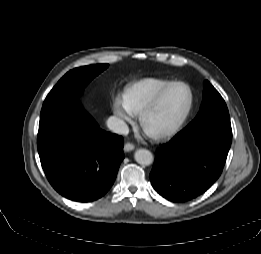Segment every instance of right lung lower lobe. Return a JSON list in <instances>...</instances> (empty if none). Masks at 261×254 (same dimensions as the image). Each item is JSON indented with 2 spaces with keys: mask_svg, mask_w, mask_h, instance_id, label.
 <instances>
[{
  "mask_svg": "<svg viewBox=\"0 0 261 254\" xmlns=\"http://www.w3.org/2000/svg\"><path fill=\"white\" fill-rule=\"evenodd\" d=\"M123 138L105 132L76 97L43 103L38 153L52 187L78 202L102 197L112 186L124 159Z\"/></svg>",
  "mask_w": 261,
  "mask_h": 254,
  "instance_id": "right-lung-lower-lobe-1",
  "label": "right lung lower lobe"
}]
</instances>
